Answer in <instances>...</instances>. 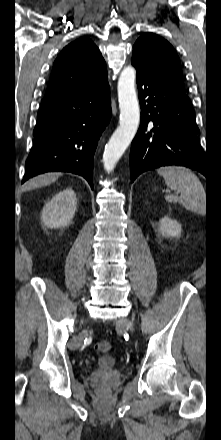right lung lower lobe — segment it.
I'll return each mask as SVG.
<instances>
[{
  "instance_id": "obj_1",
  "label": "right lung lower lobe",
  "mask_w": 221,
  "mask_h": 440,
  "mask_svg": "<svg viewBox=\"0 0 221 440\" xmlns=\"http://www.w3.org/2000/svg\"><path fill=\"white\" fill-rule=\"evenodd\" d=\"M111 114L108 83L44 97L22 183L41 173L65 171L83 176L93 188L94 153Z\"/></svg>"
}]
</instances>
